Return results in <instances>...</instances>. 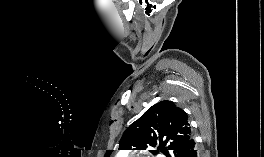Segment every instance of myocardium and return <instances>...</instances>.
<instances>
[{
	"mask_svg": "<svg viewBox=\"0 0 264 157\" xmlns=\"http://www.w3.org/2000/svg\"><path fill=\"white\" fill-rule=\"evenodd\" d=\"M132 157H144V156H141V155H134Z\"/></svg>",
	"mask_w": 264,
	"mask_h": 157,
	"instance_id": "1",
	"label": "myocardium"
}]
</instances>
